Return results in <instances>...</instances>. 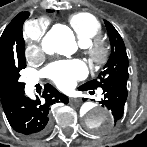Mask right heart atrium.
Here are the masks:
<instances>
[{
    "instance_id": "obj_1",
    "label": "right heart atrium",
    "mask_w": 147,
    "mask_h": 147,
    "mask_svg": "<svg viewBox=\"0 0 147 147\" xmlns=\"http://www.w3.org/2000/svg\"><path fill=\"white\" fill-rule=\"evenodd\" d=\"M46 28L47 23L44 20H36L28 24L26 30V35L29 41L26 49L27 56L36 57L41 54V42Z\"/></svg>"
}]
</instances>
